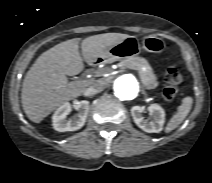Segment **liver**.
Wrapping results in <instances>:
<instances>
[{"mask_svg":"<svg viewBox=\"0 0 212 183\" xmlns=\"http://www.w3.org/2000/svg\"><path fill=\"white\" fill-rule=\"evenodd\" d=\"M122 33H104L82 40L61 42L42 53L27 72L22 86L21 101L27 117L40 123L56 108L83 94L93 80L68 82L66 75L79 74L84 62L93 63L105 57L106 50L127 38Z\"/></svg>","mask_w":212,"mask_h":183,"instance_id":"obj_1","label":"liver"}]
</instances>
